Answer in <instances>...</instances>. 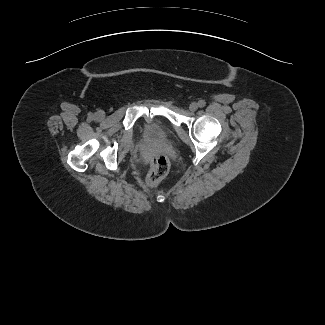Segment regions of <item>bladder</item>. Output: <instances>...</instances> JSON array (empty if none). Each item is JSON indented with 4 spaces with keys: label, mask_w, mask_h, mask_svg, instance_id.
Wrapping results in <instances>:
<instances>
[{
    "label": "bladder",
    "mask_w": 325,
    "mask_h": 325,
    "mask_svg": "<svg viewBox=\"0 0 325 325\" xmlns=\"http://www.w3.org/2000/svg\"><path fill=\"white\" fill-rule=\"evenodd\" d=\"M144 131L150 137L160 141L167 140L171 135L170 129L167 126L159 123H152L147 125L144 128Z\"/></svg>",
    "instance_id": "31cf9c89"
}]
</instances>
